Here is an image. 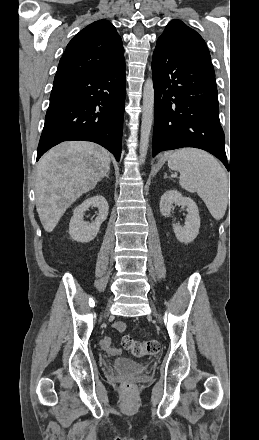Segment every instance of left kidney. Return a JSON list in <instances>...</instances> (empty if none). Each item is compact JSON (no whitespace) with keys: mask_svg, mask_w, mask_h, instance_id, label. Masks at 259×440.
Segmentation results:
<instances>
[{"mask_svg":"<svg viewBox=\"0 0 259 440\" xmlns=\"http://www.w3.org/2000/svg\"><path fill=\"white\" fill-rule=\"evenodd\" d=\"M173 204L186 206L187 216L184 226L173 224V230L178 241L192 242L199 234L200 217L196 203L189 197H184L179 191L173 189L166 191L160 200V212L164 217H169Z\"/></svg>","mask_w":259,"mask_h":440,"instance_id":"1","label":"left kidney"}]
</instances>
